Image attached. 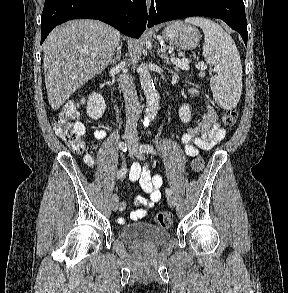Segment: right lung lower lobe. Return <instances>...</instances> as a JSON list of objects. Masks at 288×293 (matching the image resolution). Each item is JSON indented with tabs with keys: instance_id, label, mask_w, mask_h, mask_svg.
I'll return each instance as SVG.
<instances>
[{
	"instance_id": "1",
	"label": "right lung lower lobe",
	"mask_w": 288,
	"mask_h": 293,
	"mask_svg": "<svg viewBox=\"0 0 288 293\" xmlns=\"http://www.w3.org/2000/svg\"><path fill=\"white\" fill-rule=\"evenodd\" d=\"M78 18L98 19L127 36L139 38L146 29V0H45L41 44L54 27Z\"/></svg>"
}]
</instances>
